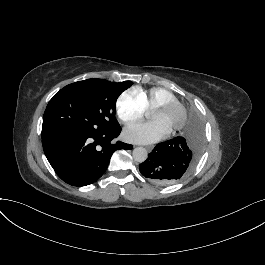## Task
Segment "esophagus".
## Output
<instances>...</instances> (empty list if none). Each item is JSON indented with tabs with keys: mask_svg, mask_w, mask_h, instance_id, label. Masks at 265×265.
Instances as JSON below:
<instances>
[{
	"mask_svg": "<svg viewBox=\"0 0 265 265\" xmlns=\"http://www.w3.org/2000/svg\"><path fill=\"white\" fill-rule=\"evenodd\" d=\"M146 148H147L148 152H151V151H152V149L154 148V146H153V145H151V146H147Z\"/></svg>",
	"mask_w": 265,
	"mask_h": 265,
	"instance_id": "1",
	"label": "esophagus"
}]
</instances>
